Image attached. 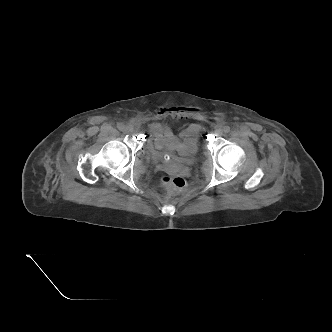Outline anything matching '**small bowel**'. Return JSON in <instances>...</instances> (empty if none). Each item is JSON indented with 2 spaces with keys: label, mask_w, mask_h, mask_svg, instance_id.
Returning a JSON list of instances; mask_svg holds the SVG:
<instances>
[{
  "label": "small bowel",
  "mask_w": 332,
  "mask_h": 332,
  "mask_svg": "<svg viewBox=\"0 0 332 332\" xmlns=\"http://www.w3.org/2000/svg\"><path fill=\"white\" fill-rule=\"evenodd\" d=\"M185 112V109L179 107L163 108L158 112L157 117L183 118ZM149 131L158 149L177 151L183 146L196 143L202 132V127L198 124H191L175 135L169 124L154 121L150 123Z\"/></svg>",
  "instance_id": "obj_1"
}]
</instances>
